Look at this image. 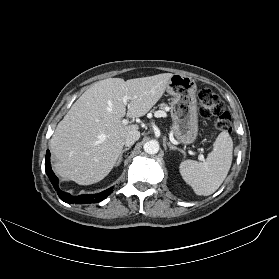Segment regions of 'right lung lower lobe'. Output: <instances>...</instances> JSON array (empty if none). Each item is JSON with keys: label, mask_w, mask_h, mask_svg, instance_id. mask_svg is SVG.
I'll list each match as a JSON object with an SVG mask.
<instances>
[{"label": "right lung lower lobe", "mask_w": 279, "mask_h": 279, "mask_svg": "<svg viewBox=\"0 0 279 279\" xmlns=\"http://www.w3.org/2000/svg\"><path fill=\"white\" fill-rule=\"evenodd\" d=\"M45 170L46 173L54 187V189L57 191L58 196L60 199L67 203H77V204H83V203H96L104 200L109 194L112 193L113 188H109L103 192L97 193V194H87V195H79V196H72L68 193H65L61 191L58 187V178L55 176L54 172L51 169L50 165V152L47 150L46 158H45Z\"/></svg>", "instance_id": "1"}]
</instances>
